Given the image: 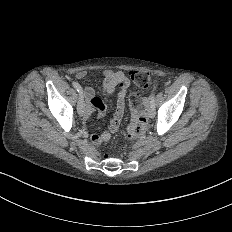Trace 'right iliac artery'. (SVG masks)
Wrapping results in <instances>:
<instances>
[{"label": "right iliac artery", "instance_id": "right-iliac-artery-1", "mask_svg": "<svg viewBox=\"0 0 232 232\" xmlns=\"http://www.w3.org/2000/svg\"><path fill=\"white\" fill-rule=\"evenodd\" d=\"M73 87L78 91L79 94H82V87L80 86V84L76 81L72 82Z\"/></svg>", "mask_w": 232, "mask_h": 232}]
</instances>
